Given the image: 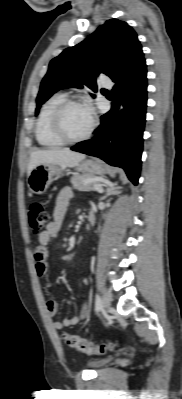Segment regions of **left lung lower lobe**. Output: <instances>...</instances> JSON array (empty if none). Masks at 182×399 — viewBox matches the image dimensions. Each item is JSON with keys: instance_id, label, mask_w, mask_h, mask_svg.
<instances>
[{"instance_id": "1", "label": "left lung lower lobe", "mask_w": 182, "mask_h": 399, "mask_svg": "<svg viewBox=\"0 0 182 399\" xmlns=\"http://www.w3.org/2000/svg\"><path fill=\"white\" fill-rule=\"evenodd\" d=\"M146 64H140L113 89L112 109L101 116V124L92 139L71 150L101 158L125 170L137 185L141 169L143 131L147 106Z\"/></svg>"}]
</instances>
